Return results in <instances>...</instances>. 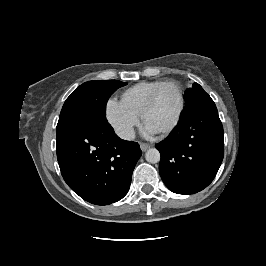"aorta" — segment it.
<instances>
[{
  "label": "aorta",
  "instance_id": "aorta-1",
  "mask_svg": "<svg viewBox=\"0 0 266 266\" xmlns=\"http://www.w3.org/2000/svg\"><path fill=\"white\" fill-rule=\"evenodd\" d=\"M145 159L149 163H157L160 161V153L156 148H150L145 153Z\"/></svg>",
  "mask_w": 266,
  "mask_h": 266
}]
</instances>
